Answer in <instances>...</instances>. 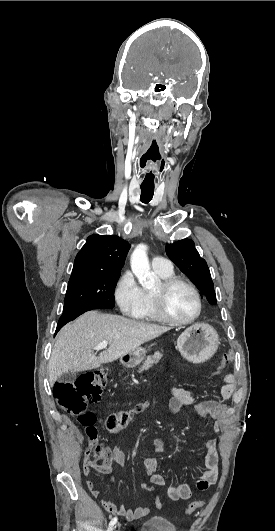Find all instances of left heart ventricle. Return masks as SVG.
Here are the masks:
<instances>
[{
	"label": "left heart ventricle",
	"mask_w": 275,
	"mask_h": 531,
	"mask_svg": "<svg viewBox=\"0 0 275 531\" xmlns=\"http://www.w3.org/2000/svg\"><path fill=\"white\" fill-rule=\"evenodd\" d=\"M160 289V283L152 290ZM168 313L179 320L191 317L196 311V300L192 292L182 284L172 286L165 297Z\"/></svg>",
	"instance_id": "1"
}]
</instances>
